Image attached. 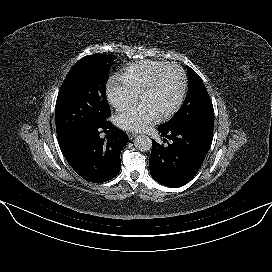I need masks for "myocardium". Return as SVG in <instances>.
<instances>
[{
    "instance_id": "obj_1",
    "label": "myocardium",
    "mask_w": 272,
    "mask_h": 272,
    "mask_svg": "<svg viewBox=\"0 0 272 272\" xmlns=\"http://www.w3.org/2000/svg\"><path fill=\"white\" fill-rule=\"evenodd\" d=\"M169 68H176L180 72L181 77H182V85H181V91H180L177 102L174 104V106L172 108H170L168 111H166L165 113H163L159 116L161 120H166V119H169L170 117H172L175 113H177L179 111V109L183 105V102H184V99L186 96V91H187V75H186L184 69L176 63H167L165 66L160 68L154 74V76L150 79V81L144 86V88L139 93V98L141 99L144 95H146L152 89H154V87L159 82L162 74Z\"/></svg>"
}]
</instances>
